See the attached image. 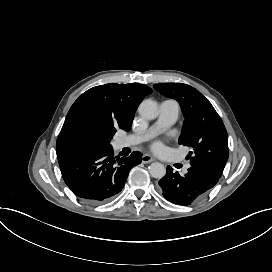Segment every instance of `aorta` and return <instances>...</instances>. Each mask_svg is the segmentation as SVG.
Returning <instances> with one entry per match:
<instances>
[{
    "instance_id": "1",
    "label": "aorta",
    "mask_w": 272,
    "mask_h": 272,
    "mask_svg": "<svg viewBox=\"0 0 272 272\" xmlns=\"http://www.w3.org/2000/svg\"><path fill=\"white\" fill-rule=\"evenodd\" d=\"M138 113L147 119H155L158 116V104L152 99H145L139 105ZM149 173L156 179H161L166 174V168L159 162H153L149 166Z\"/></svg>"
}]
</instances>
